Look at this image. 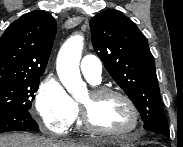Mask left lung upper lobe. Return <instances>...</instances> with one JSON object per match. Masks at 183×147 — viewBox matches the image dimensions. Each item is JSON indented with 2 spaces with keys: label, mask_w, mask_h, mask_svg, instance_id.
<instances>
[{
  "label": "left lung upper lobe",
  "mask_w": 183,
  "mask_h": 147,
  "mask_svg": "<svg viewBox=\"0 0 183 147\" xmlns=\"http://www.w3.org/2000/svg\"><path fill=\"white\" fill-rule=\"evenodd\" d=\"M92 44L115 82L140 112L144 129L169 136L155 61L147 38L123 13L103 11L90 20Z\"/></svg>",
  "instance_id": "1"
}]
</instances>
